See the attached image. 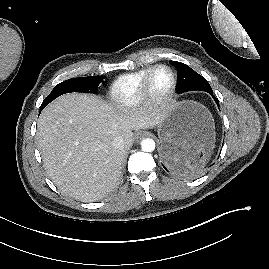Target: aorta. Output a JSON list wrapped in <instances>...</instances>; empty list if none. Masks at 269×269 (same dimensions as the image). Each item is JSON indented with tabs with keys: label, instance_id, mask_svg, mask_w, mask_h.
I'll return each instance as SVG.
<instances>
[{
	"label": "aorta",
	"instance_id": "1",
	"mask_svg": "<svg viewBox=\"0 0 269 269\" xmlns=\"http://www.w3.org/2000/svg\"><path fill=\"white\" fill-rule=\"evenodd\" d=\"M141 148L145 152H152L155 149V141L151 138H146L141 141Z\"/></svg>",
	"mask_w": 269,
	"mask_h": 269
}]
</instances>
